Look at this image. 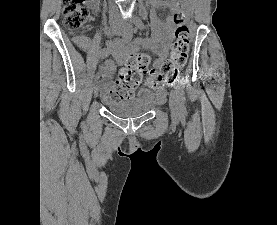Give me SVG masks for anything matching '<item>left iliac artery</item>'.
Instances as JSON below:
<instances>
[{"instance_id": "44dca946", "label": "left iliac artery", "mask_w": 277, "mask_h": 225, "mask_svg": "<svg viewBox=\"0 0 277 225\" xmlns=\"http://www.w3.org/2000/svg\"><path fill=\"white\" fill-rule=\"evenodd\" d=\"M135 25L140 30H143L145 28L144 23L139 18H137L135 20ZM175 89H176V92L178 93V96H179L181 110H182V112H185V110H186V108H185V100H186L185 99V92H184L180 82H178L176 84Z\"/></svg>"}]
</instances>
